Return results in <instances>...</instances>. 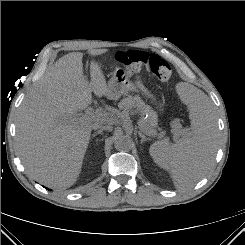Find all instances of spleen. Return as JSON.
I'll use <instances>...</instances> for the list:
<instances>
[{"mask_svg":"<svg viewBox=\"0 0 245 245\" xmlns=\"http://www.w3.org/2000/svg\"><path fill=\"white\" fill-rule=\"evenodd\" d=\"M180 93L189 109V136L172 145L164 140L156 141L149 153L158 166L170 172L175 187L185 190L201 180L213 164L217 120L210 99L200 89L182 83Z\"/></svg>","mask_w":245,"mask_h":245,"instance_id":"1","label":"spleen"}]
</instances>
